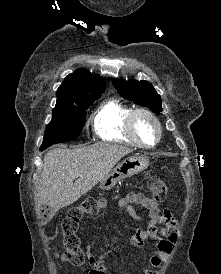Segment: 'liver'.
<instances>
[{"label":"liver","mask_w":221,"mask_h":274,"mask_svg":"<svg viewBox=\"0 0 221 274\" xmlns=\"http://www.w3.org/2000/svg\"><path fill=\"white\" fill-rule=\"evenodd\" d=\"M132 150L125 146L96 143L80 148H55L46 153L35 206L54 211L67 207L102 181ZM76 180L73 183V178Z\"/></svg>","instance_id":"obj_1"}]
</instances>
